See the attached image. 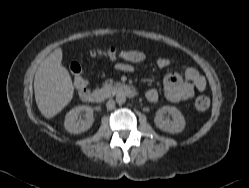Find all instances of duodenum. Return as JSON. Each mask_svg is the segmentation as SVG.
Returning a JSON list of instances; mask_svg holds the SVG:
<instances>
[{
  "label": "duodenum",
  "mask_w": 249,
  "mask_h": 188,
  "mask_svg": "<svg viewBox=\"0 0 249 188\" xmlns=\"http://www.w3.org/2000/svg\"><path fill=\"white\" fill-rule=\"evenodd\" d=\"M111 94H116L120 96H126V97H134L136 95V92L134 88H132L129 85L120 84L117 85L113 90L107 89V90H93L90 92H86L85 99L86 101L90 103H101L105 99H107Z\"/></svg>",
  "instance_id": "410a0bca"
}]
</instances>
